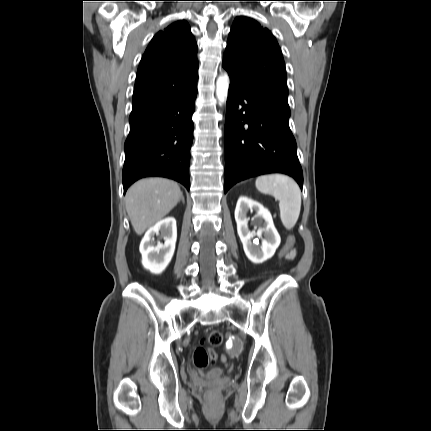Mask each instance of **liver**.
<instances>
[{
  "instance_id": "obj_1",
  "label": "liver",
  "mask_w": 431,
  "mask_h": 431,
  "mask_svg": "<svg viewBox=\"0 0 431 431\" xmlns=\"http://www.w3.org/2000/svg\"><path fill=\"white\" fill-rule=\"evenodd\" d=\"M182 192L177 183L164 178H146L127 191L125 204L137 235L162 220L179 202Z\"/></svg>"
}]
</instances>
